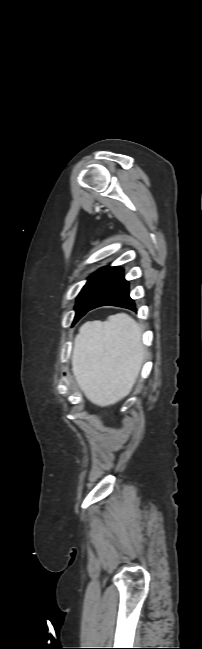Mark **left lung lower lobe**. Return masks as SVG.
<instances>
[{
  "mask_svg": "<svg viewBox=\"0 0 202 649\" xmlns=\"http://www.w3.org/2000/svg\"><path fill=\"white\" fill-rule=\"evenodd\" d=\"M106 305L124 307L136 311V304L129 296V283L124 279L123 269H119L103 291L89 303L83 315L89 310Z\"/></svg>",
  "mask_w": 202,
  "mask_h": 649,
  "instance_id": "obj_1",
  "label": "left lung lower lobe"
}]
</instances>
